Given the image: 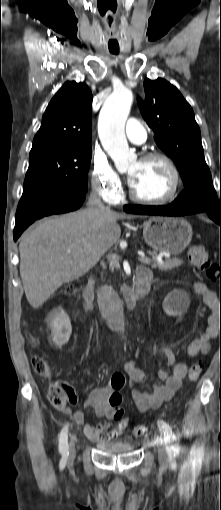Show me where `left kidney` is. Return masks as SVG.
Wrapping results in <instances>:
<instances>
[{
    "instance_id": "left-kidney-1",
    "label": "left kidney",
    "mask_w": 221,
    "mask_h": 510,
    "mask_svg": "<svg viewBox=\"0 0 221 510\" xmlns=\"http://www.w3.org/2000/svg\"><path fill=\"white\" fill-rule=\"evenodd\" d=\"M189 304L190 299L185 291L174 290L165 297L162 307L169 316H181L187 311Z\"/></svg>"
}]
</instances>
